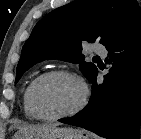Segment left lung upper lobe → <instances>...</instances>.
Returning <instances> with one entry per match:
<instances>
[{
  "label": "left lung upper lobe",
  "instance_id": "5c2ea615",
  "mask_svg": "<svg viewBox=\"0 0 141 139\" xmlns=\"http://www.w3.org/2000/svg\"><path fill=\"white\" fill-rule=\"evenodd\" d=\"M139 22L141 8L136 0H75L59 7L36 24L25 42L15 82L30 67L45 59L79 64L90 79L97 68L84 61L82 43L99 40L106 46Z\"/></svg>",
  "mask_w": 141,
  "mask_h": 139
}]
</instances>
